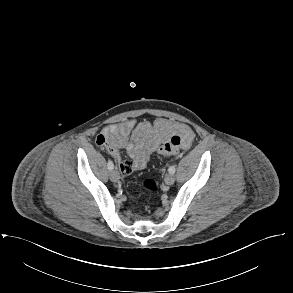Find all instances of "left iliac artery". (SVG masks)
<instances>
[{"instance_id":"obj_1","label":"left iliac artery","mask_w":293,"mask_h":293,"mask_svg":"<svg viewBox=\"0 0 293 293\" xmlns=\"http://www.w3.org/2000/svg\"><path fill=\"white\" fill-rule=\"evenodd\" d=\"M170 174H174L175 173V167L174 166H170L168 169Z\"/></svg>"}]
</instances>
